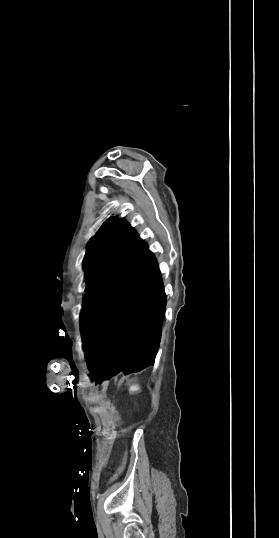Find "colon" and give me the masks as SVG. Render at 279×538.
<instances>
[{
    "label": "colon",
    "instance_id": "obj_1",
    "mask_svg": "<svg viewBox=\"0 0 279 538\" xmlns=\"http://www.w3.org/2000/svg\"><path fill=\"white\" fill-rule=\"evenodd\" d=\"M126 460H127V451H125V453H124L122 462H121V464H120V466H119V468H118V470H117V472H116V474L114 476V479L117 478L118 475H120L123 472V470L125 468V465H126Z\"/></svg>",
    "mask_w": 279,
    "mask_h": 538
}]
</instances>
